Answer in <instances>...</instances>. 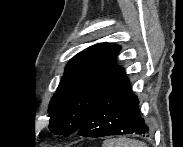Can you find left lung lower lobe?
Wrapping results in <instances>:
<instances>
[{"label":"left lung lower lobe","instance_id":"0a47b994","mask_svg":"<svg viewBox=\"0 0 183 147\" xmlns=\"http://www.w3.org/2000/svg\"><path fill=\"white\" fill-rule=\"evenodd\" d=\"M77 133L93 138L134 133L145 136L151 134V129L141 118L138 97L132 93L126 76L98 100Z\"/></svg>","mask_w":183,"mask_h":147}]
</instances>
